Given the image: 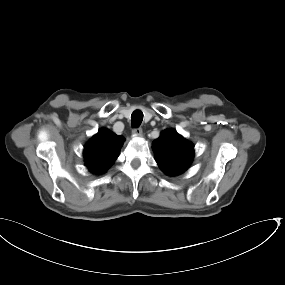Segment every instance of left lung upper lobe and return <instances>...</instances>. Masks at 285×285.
I'll return each mask as SVG.
<instances>
[{
	"mask_svg": "<svg viewBox=\"0 0 285 285\" xmlns=\"http://www.w3.org/2000/svg\"><path fill=\"white\" fill-rule=\"evenodd\" d=\"M194 146L173 129L164 130L153 142L155 160L169 176L183 173L190 166Z\"/></svg>",
	"mask_w": 285,
	"mask_h": 285,
	"instance_id": "left-lung-upper-lobe-1",
	"label": "left lung upper lobe"
}]
</instances>
